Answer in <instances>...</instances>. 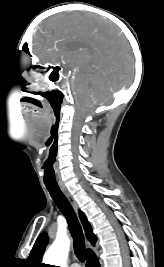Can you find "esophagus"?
<instances>
[{"mask_svg":"<svg viewBox=\"0 0 164 267\" xmlns=\"http://www.w3.org/2000/svg\"><path fill=\"white\" fill-rule=\"evenodd\" d=\"M61 190L64 193V195L66 196V198L69 200V202L71 203L73 208L77 211L78 210L77 203H76L75 199L73 198V196L69 193V191L66 188H61Z\"/></svg>","mask_w":164,"mask_h":267,"instance_id":"obj_1","label":"esophagus"}]
</instances>
